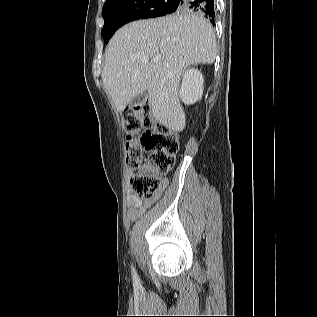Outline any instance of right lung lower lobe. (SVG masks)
I'll return each mask as SVG.
<instances>
[{"label": "right lung lower lobe", "instance_id": "1", "mask_svg": "<svg viewBox=\"0 0 317 317\" xmlns=\"http://www.w3.org/2000/svg\"><path fill=\"white\" fill-rule=\"evenodd\" d=\"M173 6L180 11H193L205 14L214 24V0H174Z\"/></svg>", "mask_w": 317, "mask_h": 317}]
</instances>
